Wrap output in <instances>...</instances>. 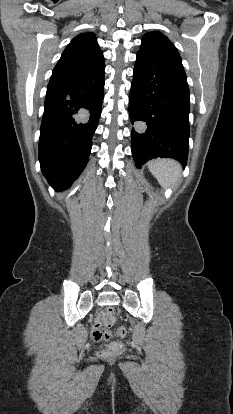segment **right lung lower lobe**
I'll list each match as a JSON object with an SVG mask.
<instances>
[{"label":"right lung lower lobe","mask_w":233,"mask_h":414,"mask_svg":"<svg viewBox=\"0 0 233 414\" xmlns=\"http://www.w3.org/2000/svg\"><path fill=\"white\" fill-rule=\"evenodd\" d=\"M104 69L52 74L40 127L39 161L55 190L67 189L85 168L104 97Z\"/></svg>","instance_id":"obj_1"}]
</instances>
